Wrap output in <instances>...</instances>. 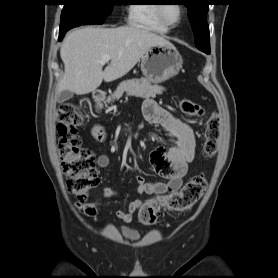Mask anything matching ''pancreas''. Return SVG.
Listing matches in <instances>:
<instances>
[{
  "mask_svg": "<svg viewBox=\"0 0 278 278\" xmlns=\"http://www.w3.org/2000/svg\"><path fill=\"white\" fill-rule=\"evenodd\" d=\"M163 90V87L156 84L152 85V83L145 78L126 80L119 84L115 92L107 98L106 102L110 103L121 98L124 92L129 96L155 98L156 95L161 94Z\"/></svg>",
  "mask_w": 278,
  "mask_h": 278,
  "instance_id": "cf45deb5",
  "label": "pancreas"
}]
</instances>
